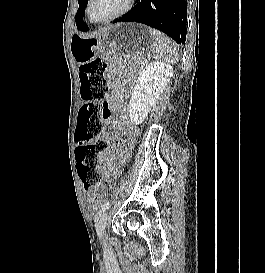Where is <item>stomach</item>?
Listing matches in <instances>:
<instances>
[{"label":"stomach","instance_id":"obj_1","mask_svg":"<svg viewBox=\"0 0 265 273\" xmlns=\"http://www.w3.org/2000/svg\"><path fill=\"white\" fill-rule=\"evenodd\" d=\"M100 38H88L74 35L71 40V52L78 62L92 59L96 56L102 40H106L109 49H131L124 51L122 59L128 60L129 56H149L155 30H148V25H106V30H99ZM105 56H121V51H105Z\"/></svg>","mask_w":265,"mask_h":273}]
</instances>
